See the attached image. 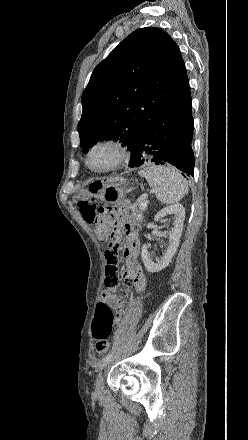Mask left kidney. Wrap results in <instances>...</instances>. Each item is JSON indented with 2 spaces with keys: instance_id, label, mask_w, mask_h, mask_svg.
Instances as JSON below:
<instances>
[{
  "instance_id": "1",
  "label": "left kidney",
  "mask_w": 248,
  "mask_h": 440,
  "mask_svg": "<svg viewBox=\"0 0 248 440\" xmlns=\"http://www.w3.org/2000/svg\"><path fill=\"white\" fill-rule=\"evenodd\" d=\"M166 215L174 216V227L172 228L169 234V244L167 250L164 255L160 259H156V262L150 257L148 252V247L146 244L143 245L141 251L142 261L144 263L145 268L151 272H159L165 267L169 265L172 260V257L177 251L179 246V240L181 237V233L183 230V223L185 219V209L182 204H174L164 209L160 210L154 217L155 221L165 217Z\"/></svg>"
}]
</instances>
